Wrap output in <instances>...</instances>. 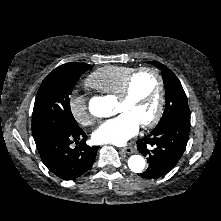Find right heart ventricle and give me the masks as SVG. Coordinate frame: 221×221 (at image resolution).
Segmentation results:
<instances>
[{
    "instance_id": "obj_1",
    "label": "right heart ventricle",
    "mask_w": 221,
    "mask_h": 221,
    "mask_svg": "<svg viewBox=\"0 0 221 221\" xmlns=\"http://www.w3.org/2000/svg\"><path fill=\"white\" fill-rule=\"evenodd\" d=\"M135 70L128 66L109 65L99 68L86 79V86L102 93L117 96L126 78Z\"/></svg>"
}]
</instances>
